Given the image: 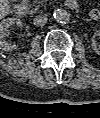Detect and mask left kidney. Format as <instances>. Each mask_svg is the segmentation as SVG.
I'll return each instance as SVG.
<instances>
[{
    "label": "left kidney",
    "instance_id": "obj_1",
    "mask_svg": "<svg viewBox=\"0 0 100 118\" xmlns=\"http://www.w3.org/2000/svg\"><path fill=\"white\" fill-rule=\"evenodd\" d=\"M92 47H93L94 50H98V48H97V43L95 42L94 39H93V41H92Z\"/></svg>",
    "mask_w": 100,
    "mask_h": 118
}]
</instances>
